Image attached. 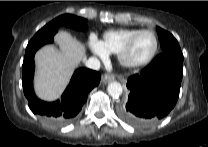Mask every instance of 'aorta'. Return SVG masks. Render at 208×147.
Here are the masks:
<instances>
[{
  "instance_id": "aorta-1",
  "label": "aorta",
  "mask_w": 208,
  "mask_h": 147,
  "mask_svg": "<svg viewBox=\"0 0 208 147\" xmlns=\"http://www.w3.org/2000/svg\"><path fill=\"white\" fill-rule=\"evenodd\" d=\"M107 91L110 96L119 97L123 92V88L119 82L115 81V82L109 83L107 87Z\"/></svg>"
}]
</instances>
